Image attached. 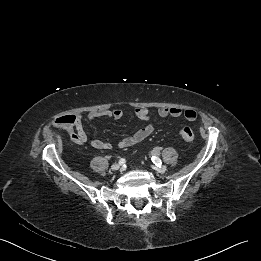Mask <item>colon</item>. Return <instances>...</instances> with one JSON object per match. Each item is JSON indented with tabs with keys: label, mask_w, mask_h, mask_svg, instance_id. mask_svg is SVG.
Returning a JSON list of instances; mask_svg holds the SVG:
<instances>
[{
	"label": "colon",
	"mask_w": 261,
	"mask_h": 261,
	"mask_svg": "<svg viewBox=\"0 0 261 261\" xmlns=\"http://www.w3.org/2000/svg\"><path fill=\"white\" fill-rule=\"evenodd\" d=\"M75 117L74 115H59L54 120L53 123L59 127H70L74 124ZM179 137L185 142H192L194 140V132L193 130L186 126L183 127L179 132Z\"/></svg>",
	"instance_id": "obj_1"
}]
</instances>
